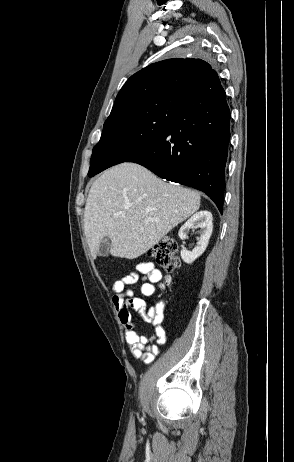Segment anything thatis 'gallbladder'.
Returning <instances> with one entry per match:
<instances>
[{
	"mask_svg": "<svg viewBox=\"0 0 294 462\" xmlns=\"http://www.w3.org/2000/svg\"><path fill=\"white\" fill-rule=\"evenodd\" d=\"M111 248V240L109 237H104L98 248V256H108Z\"/></svg>",
	"mask_w": 294,
	"mask_h": 462,
	"instance_id": "gallbladder-1",
	"label": "gallbladder"
}]
</instances>
